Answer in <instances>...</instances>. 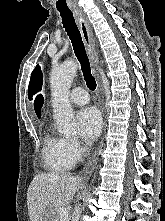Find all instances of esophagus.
<instances>
[{"label": "esophagus", "instance_id": "1", "mask_svg": "<svg viewBox=\"0 0 165 221\" xmlns=\"http://www.w3.org/2000/svg\"><path fill=\"white\" fill-rule=\"evenodd\" d=\"M73 14L75 19L79 25L82 38L85 44V48L92 66V70L95 74H97V64H98V54L96 51V43L92 34L91 27L89 25L88 19L81 9H74ZM100 87V82H99Z\"/></svg>", "mask_w": 165, "mask_h": 221}]
</instances>
